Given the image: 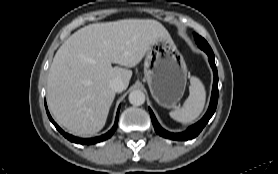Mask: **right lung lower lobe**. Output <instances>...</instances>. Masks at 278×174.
Listing matches in <instances>:
<instances>
[{
  "label": "right lung lower lobe",
  "instance_id": "1",
  "mask_svg": "<svg viewBox=\"0 0 278 174\" xmlns=\"http://www.w3.org/2000/svg\"><path fill=\"white\" fill-rule=\"evenodd\" d=\"M46 106V105H45ZM120 109V107H119ZM119 109L117 111V115H116V119H115V123H114V126L112 127L111 130H109L106 134H103L102 136H98V137H95V138H88V139H82V138H78V137H75V136H72L68 133H65L55 122L54 120L52 119V117L50 116L48 110H47V106H46V111H47V114H48V117L50 119V121L54 124V126L56 127V129L61 133L63 134V136L65 138H67L68 140L72 141V142H75V143H78V144H94V143H97V142H100V141H104L108 138H110L113 133L115 132L116 128H117V124H118V116H119Z\"/></svg>",
  "mask_w": 278,
  "mask_h": 174
}]
</instances>
